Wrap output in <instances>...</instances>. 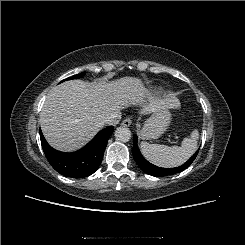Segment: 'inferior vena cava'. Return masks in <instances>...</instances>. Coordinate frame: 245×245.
I'll list each match as a JSON object with an SVG mask.
<instances>
[{
  "instance_id": "1",
  "label": "inferior vena cava",
  "mask_w": 245,
  "mask_h": 245,
  "mask_svg": "<svg viewBox=\"0 0 245 245\" xmlns=\"http://www.w3.org/2000/svg\"><path fill=\"white\" fill-rule=\"evenodd\" d=\"M120 118H121V113L111 115L105 120V124L115 126L118 124Z\"/></svg>"
}]
</instances>
